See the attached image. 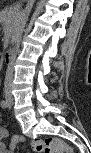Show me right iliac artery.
I'll use <instances>...</instances> for the list:
<instances>
[{"label": "right iliac artery", "mask_w": 91, "mask_h": 153, "mask_svg": "<svg viewBox=\"0 0 91 153\" xmlns=\"http://www.w3.org/2000/svg\"><path fill=\"white\" fill-rule=\"evenodd\" d=\"M0 106H1L3 109L7 108V106H8L7 101L2 100L1 103H0Z\"/></svg>", "instance_id": "82829eb1"}]
</instances>
